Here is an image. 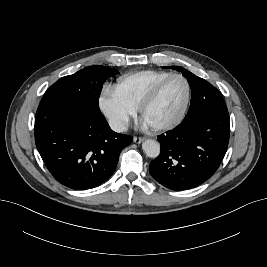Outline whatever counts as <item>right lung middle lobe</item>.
Returning <instances> with one entry per match:
<instances>
[{"instance_id":"right-lung-middle-lobe-1","label":"right lung middle lobe","mask_w":267,"mask_h":267,"mask_svg":"<svg viewBox=\"0 0 267 267\" xmlns=\"http://www.w3.org/2000/svg\"><path fill=\"white\" fill-rule=\"evenodd\" d=\"M117 73V70L109 67L89 66L56 81L45 92L44 97L64 100L99 112L98 101L103 84L108 77Z\"/></svg>"}]
</instances>
